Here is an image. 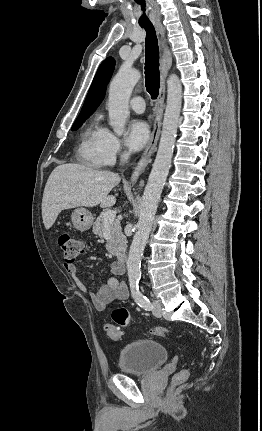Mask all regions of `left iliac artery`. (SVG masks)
<instances>
[{"label": "left iliac artery", "instance_id": "left-iliac-artery-1", "mask_svg": "<svg viewBox=\"0 0 262 431\" xmlns=\"http://www.w3.org/2000/svg\"><path fill=\"white\" fill-rule=\"evenodd\" d=\"M130 289L133 299L140 307L144 308L145 310H150L152 308L150 300L140 291L139 281L131 282Z\"/></svg>", "mask_w": 262, "mask_h": 431}]
</instances>
